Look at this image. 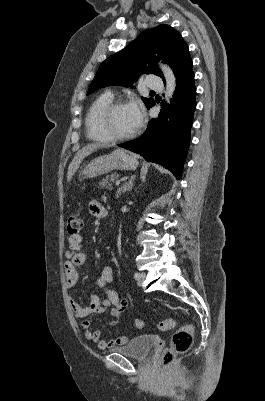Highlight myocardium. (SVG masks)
I'll return each mask as SVG.
<instances>
[{"label": "myocardium", "instance_id": "f54148a6", "mask_svg": "<svg viewBox=\"0 0 265 401\" xmlns=\"http://www.w3.org/2000/svg\"><path fill=\"white\" fill-rule=\"evenodd\" d=\"M128 105V102L125 100H115L108 104L103 110L100 112L97 119V127L100 133H102L106 139V141H124L132 138L138 131V126L129 134L126 135H114L108 126V121L110 116L114 113V111L121 107Z\"/></svg>", "mask_w": 265, "mask_h": 401}]
</instances>
